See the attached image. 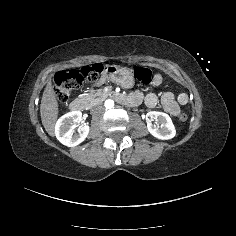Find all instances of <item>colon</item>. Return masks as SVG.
<instances>
[{"label": "colon", "instance_id": "colon-1", "mask_svg": "<svg viewBox=\"0 0 236 236\" xmlns=\"http://www.w3.org/2000/svg\"><path fill=\"white\" fill-rule=\"evenodd\" d=\"M101 64L84 66L79 69L59 71L54 77V87L57 99L61 103L68 101L71 93L84 81H95L102 72ZM135 77L144 84L152 81V71L147 67H138L135 70ZM179 119L185 122L188 119L186 112H181Z\"/></svg>", "mask_w": 236, "mask_h": 236}]
</instances>
